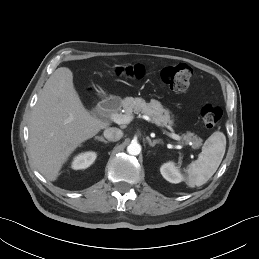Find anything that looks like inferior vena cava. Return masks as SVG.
Listing matches in <instances>:
<instances>
[{"instance_id":"obj_1","label":"inferior vena cava","mask_w":259,"mask_h":259,"mask_svg":"<svg viewBox=\"0 0 259 259\" xmlns=\"http://www.w3.org/2000/svg\"><path fill=\"white\" fill-rule=\"evenodd\" d=\"M104 137L109 141H118L122 138L123 132L115 127H110L104 130Z\"/></svg>"}]
</instances>
